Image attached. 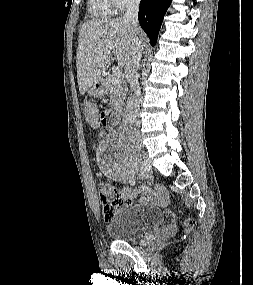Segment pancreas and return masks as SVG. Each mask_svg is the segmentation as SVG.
Segmentation results:
<instances>
[{"instance_id":"pancreas-1","label":"pancreas","mask_w":253,"mask_h":285,"mask_svg":"<svg viewBox=\"0 0 253 285\" xmlns=\"http://www.w3.org/2000/svg\"><path fill=\"white\" fill-rule=\"evenodd\" d=\"M104 92L110 97L111 109L116 112L122 110L127 93V85L124 80L114 83L110 80V75L104 79Z\"/></svg>"}]
</instances>
